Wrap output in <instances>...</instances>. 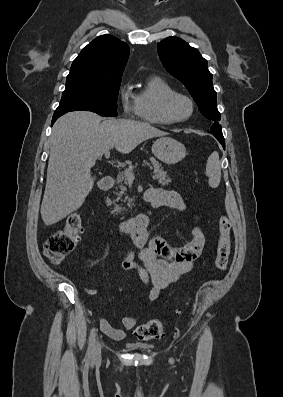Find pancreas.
I'll use <instances>...</instances> for the list:
<instances>
[{
  "label": "pancreas",
  "instance_id": "pancreas-1",
  "mask_svg": "<svg viewBox=\"0 0 283 397\" xmlns=\"http://www.w3.org/2000/svg\"><path fill=\"white\" fill-rule=\"evenodd\" d=\"M143 165H147L150 167V169H154V175H153V179L158 181V184L165 186L168 185L171 182V179L168 177L167 172L160 166V164L157 161H151L148 162L146 160L143 161ZM137 164L134 165H130L127 170H133L134 167H136ZM117 184H118V188H116V191L114 192V194L117 195V199L116 201L119 200H123V201H128V206L131 207L132 204V198H129L126 195V191L127 188L125 186V184H127V177L124 175V173H120L117 175ZM123 209L116 206V213H120Z\"/></svg>",
  "mask_w": 283,
  "mask_h": 397
}]
</instances>
